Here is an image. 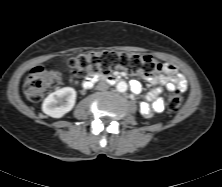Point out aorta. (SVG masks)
Returning <instances> with one entry per match:
<instances>
[{"label":"aorta","mask_w":222,"mask_h":187,"mask_svg":"<svg viewBox=\"0 0 222 187\" xmlns=\"http://www.w3.org/2000/svg\"><path fill=\"white\" fill-rule=\"evenodd\" d=\"M116 88L119 92H125L127 90V83L125 81H120L117 83Z\"/></svg>","instance_id":"1"}]
</instances>
